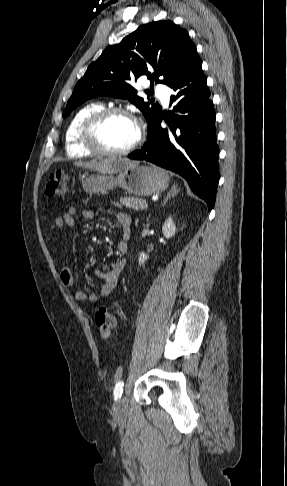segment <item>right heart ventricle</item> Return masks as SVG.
<instances>
[{
    "label": "right heart ventricle",
    "instance_id": "right-heart-ventricle-1",
    "mask_svg": "<svg viewBox=\"0 0 287 486\" xmlns=\"http://www.w3.org/2000/svg\"><path fill=\"white\" fill-rule=\"evenodd\" d=\"M102 108L104 107L101 103H90L74 114L65 132V150L69 157L84 158L92 155L81 143L80 130L86 118Z\"/></svg>",
    "mask_w": 287,
    "mask_h": 486
}]
</instances>
